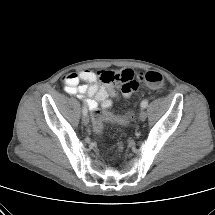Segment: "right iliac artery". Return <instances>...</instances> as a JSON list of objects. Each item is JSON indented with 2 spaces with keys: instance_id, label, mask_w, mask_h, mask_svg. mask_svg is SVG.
Returning a JSON list of instances; mask_svg holds the SVG:
<instances>
[{
  "instance_id": "1",
  "label": "right iliac artery",
  "mask_w": 215,
  "mask_h": 215,
  "mask_svg": "<svg viewBox=\"0 0 215 215\" xmlns=\"http://www.w3.org/2000/svg\"><path fill=\"white\" fill-rule=\"evenodd\" d=\"M82 112H83V115H87V108H86V106H83V110H82Z\"/></svg>"
}]
</instances>
